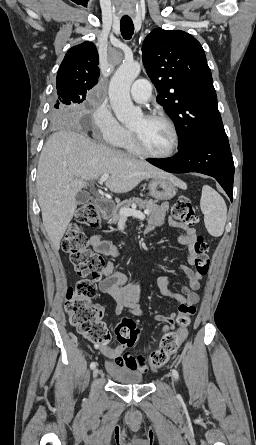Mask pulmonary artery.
Listing matches in <instances>:
<instances>
[{"label":"pulmonary artery","mask_w":256,"mask_h":445,"mask_svg":"<svg viewBox=\"0 0 256 445\" xmlns=\"http://www.w3.org/2000/svg\"><path fill=\"white\" fill-rule=\"evenodd\" d=\"M151 84L146 79L136 80L130 90L132 99L140 104H146L151 97Z\"/></svg>","instance_id":"1"}]
</instances>
